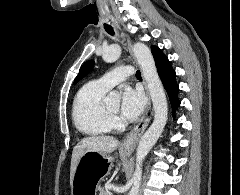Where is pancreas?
<instances>
[{
    "label": "pancreas",
    "instance_id": "cf45deb5",
    "mask_svg": "<svg viewBox=\"0 0 240 195\" xmlns=\"http://www.w3.org/2000/svg\"><path fill=\"white\" fill-rule=\"evenodd\" d=\"M99 195H109L108 191H106V187H100Z\"/></svg>",
    "mask_w": 240,
    "mask_h": 195
}]
</instances>
